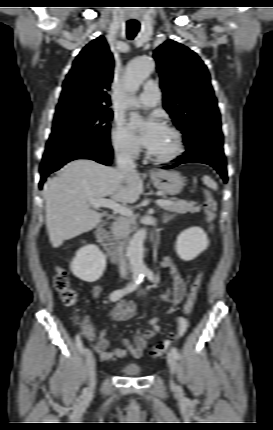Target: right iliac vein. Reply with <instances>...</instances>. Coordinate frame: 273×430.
<instances>
[{"label": "right iliac vein", "instance_id": "1", "mask_svg": "<svg viewBox=\"0 0 273 430\" xmlns=\"http://www.w3.org/2000/svg\"><path fill=\"white\" fill-rule=\"evenodd\" d=\"M86 364L87 369L89 373V385L86 390V396L91 397L93 396L94 389H95V358L90 349L86 350Z\"/></svg>", "mask_w": 273, "mask_h": 430}]
</instances>
